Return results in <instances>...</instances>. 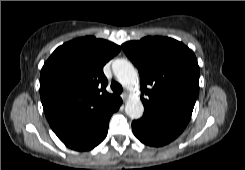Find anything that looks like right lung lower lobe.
Listing matches in <instances>:
<instances>
[{
    "label": "right lung lower lobe",
    "instance_id": "98d812e1",
    "mask_svg": "<svg viewBox=\"0 0 245 170\" xmlns=\"http://www.w3.org/2000/svg\"><path fill=\"white\" fill-rule=\"evenodd\" d=\"M121 103L122 100L120 99L117 104L107 113L105 118L87 136L77 143L71 145L70 148L78 151H86L101 143L107 135L109 119L111 115L119 109Z\"/></svg>",
    "mask_w": 245,
    "mask_h": 170
}]
</instances>
